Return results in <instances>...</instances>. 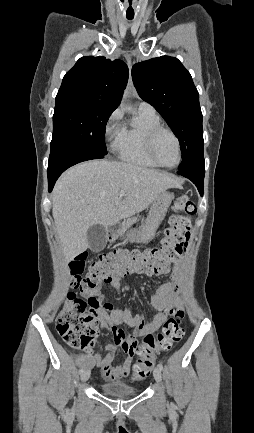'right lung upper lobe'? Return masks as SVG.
Segmentation results:
<instances>
[{"mask_svg": "<svg viewBox=\"0 0 254 433\" xmlns=\"http://www.w3.org/2000/svg\"><path fill=\"white\" fill-rule=\"evenodd\" d=\"M127 80L128 67L123 61L82 57L64 76L55 104L91 103L115 110Z\"/></svg>", "mask_w": 254, "mask_h": 433, "instance_id": "right-lung-upper-lobe-1", "label": "right lung upper lobe"}]
</instances>
